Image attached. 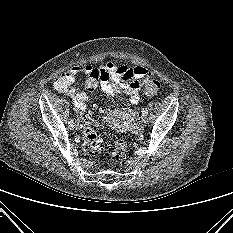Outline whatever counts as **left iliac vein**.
<instances>
[{
	"instance_id": "4c4485c4",
	"label": "left iliac vein",
	"mask_w": 233,
	"mask_h": 233,
	"mask_svg": "<svg viewBox=\"0 0 233 233\" xmlns=\"http://www.w3.org/2000/svg\"><path fill=\"white\" fill-rule=\"evenodd\" d=\"M147 123V118L145 116H142L140 119V125H145Z\"/></svg>"
}]
</instances>
